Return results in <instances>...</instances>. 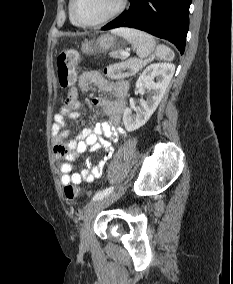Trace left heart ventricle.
<instances>
[{"instance_id":"left-heart-ventricle-1","label":"left heart ventricle","mask_w":233,"mask_h":284,"mask_svg":"<svg viewBox=\"0 0 233 284\" xmlns=\"http://www.w3.org/2000/svg\"><path fill=\"white\" fill-rule=\"evenodd\" d=\"M118 3L119 0H77L76 13L84 22H95L111 13Z\"/></svg>"}]
</instances>
